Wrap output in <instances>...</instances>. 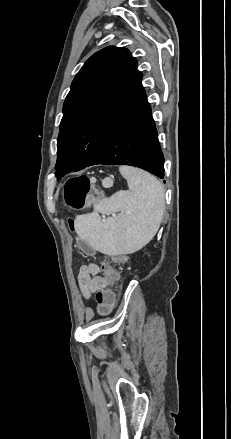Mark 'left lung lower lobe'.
<instances>
[{
    "label": "left lung lower lobe",
    "mask_w": 231,
    "mask_h": 439,
    "mask_svg": "<svg viewBox=\"0 0 231 439\" xmlns=\"http://www.w3.org/2000/svg\"><path fill=\"white\" fill-rule=\"evenodd\" d=\"M97 164L136 166L164 178V156L144 89L86 167Z\"/></svg>",
    "instance_id": "left-lung-lower-lobe-1"
}]
</instances>
